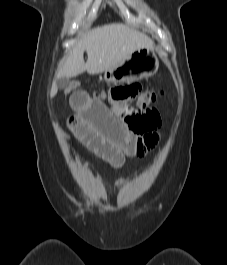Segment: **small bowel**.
Returning a JSON list of instances; mask_svg holds the SVG:
<instances>
[{"mask_svg":"<svg viewBox=\"0 0 227 265\" xmlns=\"http://www.w3.org/2000/svg\"><path fill=\"white\" fill-rule=\"evenodd\" d=\"M140 86V81H131ZM75 114L68 120L70 131L92 152L116 168H121L126 157L146 156L159 140L154 130L144 135L133 133L126 124L114 117L105 103L86 96V91H73L69 96ZM124 183L121 179L116 188Z\"/></svg>","mask_w":227,"mask_h":265,"instance_id":"1","label":"small bowel"}]
</instances>
